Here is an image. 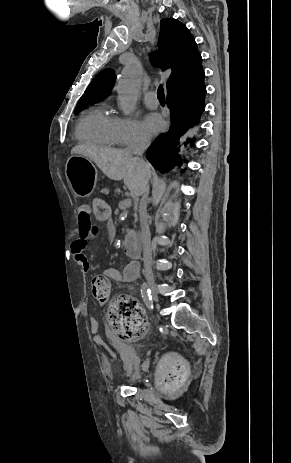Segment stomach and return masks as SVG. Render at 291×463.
Returning <instances> with one entry per match:
<instances>
[{
  "label": "stomach",
  "mask_w": 291,
  "mask_h": 463,
  "mask_svg": "<svg viewBox=\"0 0 291 463\" xmlns=\"http://www.w3.org/2000/svg\"><path fill=\"white\" fill-rule=\"evenodd\" d=\"M96 168L90 159L73 154L65 166V174L70 187L78 197H87L96 184Z\"/></svg>",
  "instance_id": "stomach-1"
}]
</instances>
